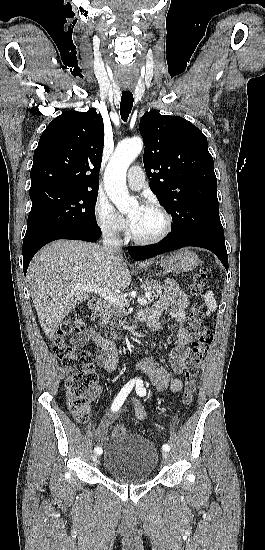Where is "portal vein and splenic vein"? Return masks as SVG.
Masks as SVG:
<instances>
[{
    "mask_svg": "<svg viewBox=\"0 0 265 550\" xmlns=\"http://www.w3.org/2000/svg\"><path fill=\"white\" fill-rule=\"evenodd\" d=\"M75 289L81 290L84 292H93L95 294H98L99 296L103 297L104 299L108 300L111 303H114L119 306L127 305V299L125 297L116 295L110 291L104 290L102 288H99L98 286H94L91 284H78L75 285ZM147 297H150L149 294ZM138 302L141 305H146L148 303L146 298H139Z\"/></svg>",
    "mask_w": 265,
    "mask_h": 550,
    "instance_id": "portal-vein-and-splenic-vein-1",
    "label": "portal vein and splenic vein"
}]
</instances>
